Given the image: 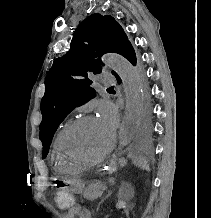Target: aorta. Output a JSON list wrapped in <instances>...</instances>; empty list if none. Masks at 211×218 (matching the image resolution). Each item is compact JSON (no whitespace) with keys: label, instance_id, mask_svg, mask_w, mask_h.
I'll use <instances>...</instances> for the list:
<instances>
[{"label":"aorta","instance_id":"1","mask_svg":"<svg viewBox=\"0 0 211 218\" xmlns=\"http://www.w3.org/2000/svg\"><path fill=\"white\" fill-rule=\"evenodd\" d=\"M102 60L120 76L123 83L126 111L119 131V143L124 147L132 141L140 124L143 107L141 83L133 66L122 56L107 54Z\"/></svg>","mask_w":211,"mask_h":218}]
</instances>
